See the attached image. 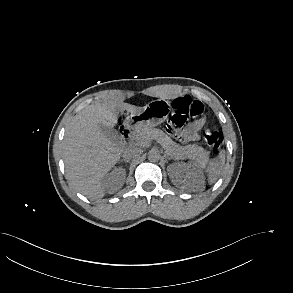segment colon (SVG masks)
Wrapping results in <instances>:
<instances>
[{"mask_svg":"<svg viewBox=\"0 0 293 293\" xmlns=\"http://www.w3.org/2000/svg\"><path fill=\"white\" fill-rule=\"evenodd\" d=\"M174 113L166 124L167 132L176 134L188 119L199 117L204 112V106L200 101L192 100L189 96L177 97L172 102ZM206 143L213 150H218L222 145V138L217 131L206 130L204 134Z\"/></svg>","mask_w":293,"mask_h":293,"instance_id":"5ec220e1","label":"colon"}]
</instances>
